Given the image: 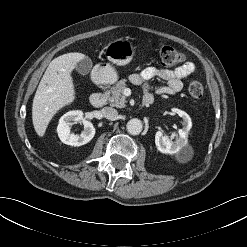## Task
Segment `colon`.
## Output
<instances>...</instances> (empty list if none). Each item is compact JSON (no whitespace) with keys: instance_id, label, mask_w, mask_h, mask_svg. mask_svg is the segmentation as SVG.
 Returning <instances> with one entry per match:
<instances>
[{"instance_id":"colon-1","label":"colon","mask_w":247,"mask_h":247,"mask_svg":"<svg viewBox=\"0 0 247 247\" xmlns=\"http://www.w3.org/2000/svg\"><path fill=\"white\" fill-rule=\"evenodd\" d=\"M155 54L163 66H175L184 61V55L178 49L164 45L155 48ZM188 92L194 99H199L203 96V85L198 81H193L189 84Z\"/></svg>"}]
</instances>
